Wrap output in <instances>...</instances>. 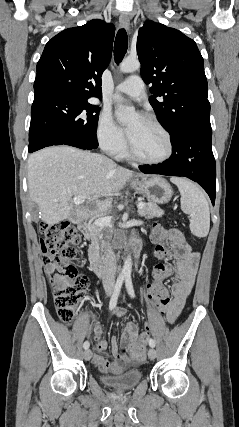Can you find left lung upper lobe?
<instances>
[{
  "label": "left lung upper lobe",
  "instance_id": "1",
  "mask_svg": "<svg viewBox=\"0 0 239 427\" xmlns=\"http://www.w3.org/2000/svg\"><path fill=\"white\" fill-rule=\"evenodd\" d=\"M137 54L141 76L152 84L149 102L171 139L184 128H211L204 61L196 43L177 29L146 21L138 32Z\"/></svg>",
  "mask_w": 239,
  "mask_h": 427
}]
</instances>
